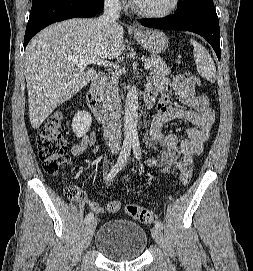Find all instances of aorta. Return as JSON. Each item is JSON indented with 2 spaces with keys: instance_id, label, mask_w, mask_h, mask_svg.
Instances as JSON below:
<instances>
[{
  "instance_id": "aorta-1",
  "label": "aorta",
  "mask_w": 253,
  "mask_h": 271,
  "mask_svg": "<svg viewBox=\"0 0 253 271\" xmlns=\"http://www.w3.org/2000/svg\"><path fill=\"white\" fill-rule=\"evenodd\" d=\"M138 91L135 86L129 88L125 100L124 135L126 141L138 140Z\"/></svg>"
}]
</instances>
